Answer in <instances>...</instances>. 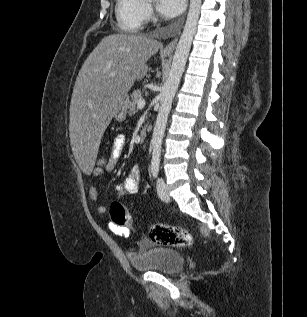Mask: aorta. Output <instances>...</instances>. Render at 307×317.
Returning <instances> with one entry per match:
<instances>
[{
  "label": "aorta",
  "instance_id": "762f6f07",
  "mask_svg": "<svg viewBox=\"0 0 307 317\" xmlns=\"http://www.w3.org/2000/svg\"><path fill=\"white\" fill-rule=\"evenodd\" d=\"M201 2L202 0H190L189 11L184 30L177 44L168 78L160 93V108L151 139L152 167H158L160 164L162 141L166 129L168 115L171 110L172 101L178 89L180 79L184 72L192 41L196 33L201 10Z\"/></svg>",
  "mask_w": 307,
  "mask_h": 317
}]
</instances>
